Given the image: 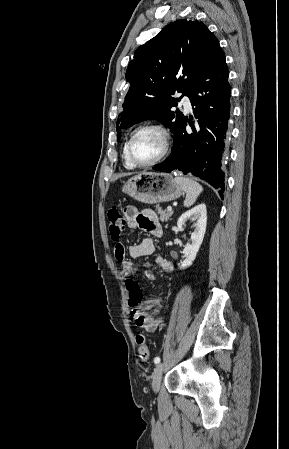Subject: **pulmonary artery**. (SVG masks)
I'll use <instances>...</instances> for the list:
<instances>
[{"label": "pulmonary artery", "instance_id": "1", "mask_svg": "<svg viewBox=\"0 0 289 449\" xmlns=\"http://www.w3.org/2000/svg\"><path fill=\"white\" fill-rule=\"evenodd\" d=\"M182 104L187 112L191 111L192 105H191L190 99L187 96H184L182 98Z\"/></svg>", "mask_w": 289, "mask_h": 449}]
</instances>
